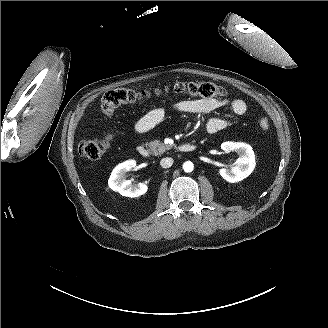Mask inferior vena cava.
Listing matches in <instances>:
<instances>
[{
    "label": "inferior vena cava",
    "instance_id": "602c4592",
    "mask_svg": "<svg viewBox=\"0 0 328 328\" xmlns=\"http://www.w3.org/2000/svg\"><path fill=\"white\" fill-rule=\"evenodd\" d=\"M173 164V158L171 157H166V158H163L161 159L160 161V165L163 167V168H169L171 167Z\"/></svg>",
    "mask_w": 328,
    "mask_h": 328
}]
</instances>
